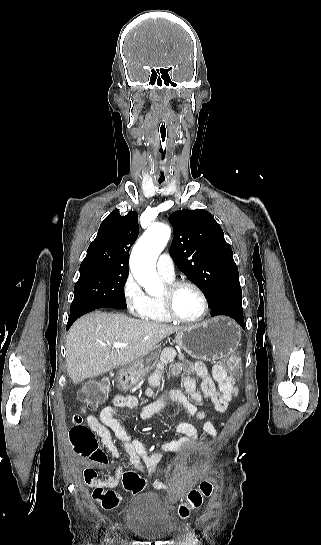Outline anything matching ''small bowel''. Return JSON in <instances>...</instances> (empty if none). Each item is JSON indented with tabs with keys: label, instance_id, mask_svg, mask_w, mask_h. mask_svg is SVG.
<instances>
[{
	"label": "small bowel",
	"instance_id": "1",
	"mask_svg": "<svg viewBox=\"0 0 321 545\" xmlns=\"http://www.w3.org/2000/svg\"><path fill=\"white\" fill-rule=\"evenodd\" d=\"M192 369L194 373L201 379V391L197 390L194 378L187 374L183 377L182 385L184 392L174 390L166 393L163 397L154 403L145 407L141 413L144 420H151L166 403L175 401L182 404L190 416H195L198 419H205L206 413L198 411L196 405H201L204 398L210 399L214 408L219 413H224L228 403L237 395V387L235 379L227 374L225 368L221 365L212 367V376L209 375L206 366L202 362H193ZM217 384V386H216ZM152 394L151 390L147 391V396ZM140 400L135 396H115L112 404L103 408L99 416H88L86 419L89 428L96 433L113 458H119L118 448L112 439V433L122 444L128 454L130 463L139 471L147 472L153 475L159 472L158 463L163 452L177 451L190 444L197 438V430L188 423H177L173 429L183 435V437L163 444L153 454H148L143 443L132 438L121 426L115 418V414L125 408H134L138 406ZM204 430L208 435L216 436L217 431L211 422L204 424ZM92 459L100 464L107 463V457L102 452L94 455ZM122 468L118 467L115 474L105 479H99L96 472L92 468H87L84 472L86 483L90 487L115 488L121 479ZM154 487L161 490H166L169 486L163 482L155 481Z\"/></svg>",
	"mask_w": 321,
	"mask_h": 545
}]
</instances>
